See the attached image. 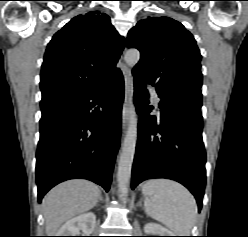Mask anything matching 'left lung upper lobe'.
Masks as SVG:
<instances>
[{
	"label": "left lung upper lobe",
	"instance_id": "1",
	"mask_svg": "<svg viewBox=\"0 0 248 237\" xmlns=\"http://www.w3.org/2000/svg\"><path fill=\"white\" fill-rule=\"evenodd\" d=\"M127 47L141 53L135 80L154 85L161 99L202 101L200 51L180 22L158 16L140 20L128 33Z\"/></svg>",
	"mask_w": 248,
	"mask_h": 237
}]
</instances>
